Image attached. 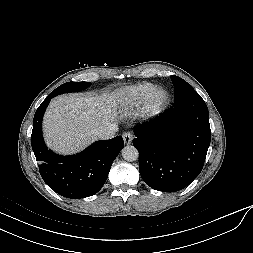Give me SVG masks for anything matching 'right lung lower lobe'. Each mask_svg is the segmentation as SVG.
I'll use <instances>...</instances> for the list:
<instances>
[{"instance_id":"1","label":"right lung lower lobe","mask_w":253,"mask_h":253,"mask_svg":"<svg viewBox=\"0 0 253 253\" xmlns=\"http://www.w3.org/2000/svg\"><path fill=\"white\" fill-rule=\"evenodd\" d=\"M51 93L38 107L31 135V145L39 171L45 181L58 194L79 199L96 194L107 180L111 165L124 146L122 137L97 141L72 156H59L46 147L42 137V118L51 100Z\"/></svg>"}]
</instances>
